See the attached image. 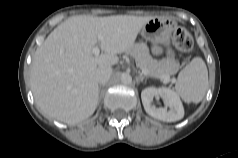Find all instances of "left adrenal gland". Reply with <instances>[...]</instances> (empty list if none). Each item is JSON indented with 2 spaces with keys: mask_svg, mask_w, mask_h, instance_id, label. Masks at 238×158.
Listing matches in <instances>:
<instances>
[{
  "mask_svg": "<svg viewBox=\"0 0 238 158\" xmlns=\"http://www.w3.org/2000/svg\"><path fill=\"white\" fill-rule=\"evenodd\" d=\"M146 79H147V77H145L142 73L139 72V80H140L141 82H143V81L146 80Z\"/></svg>",
  "mask_w": 238,
  "mask_h": 158,
  "instance_id": "left-adrenal-gland-1",
  "label": "left adrenal gland"
}]
</instances>
